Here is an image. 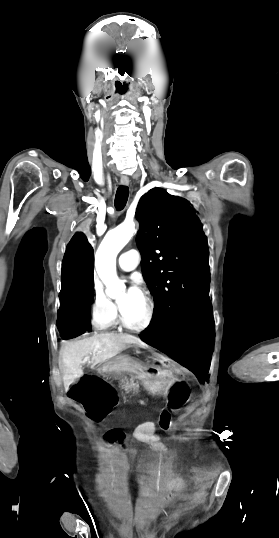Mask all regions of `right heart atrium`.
I'll return each mask as SVG.
<instances>
[{"label":"right heart atrium","instance_id":"d8ad5b80","mask_svg":"<svg viewBox=\"0 0 279 538\" xmlns=\"http://www.w3.org/2000/svg\"><path fill=\"white\" fill-rule=\"evenodd\" d=\"M93 293L92 322L96 328L102 329L111 324L117 313V305L107 296L96 275L93 278Z\"/></svg>","mask_w":279,"mask_h":538}]
</instances>
